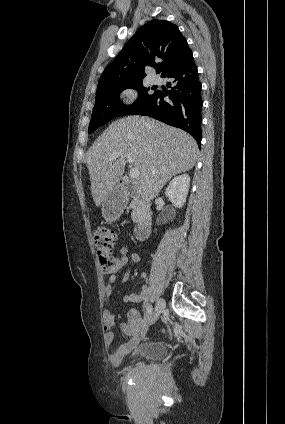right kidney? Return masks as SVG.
Here are the masks:
<instances>
[{"label": "right kidney", "instance_id": "right-kidney-1", "mask_svg": "<svg viewBox=\"0 0 285 424\" xmlns=\"http://www.w3.org/2000/svg\"><path fill=\"white\" fill-rule=\"evenodd\" d=\"M189 185L190 177L188 174L179 175L170 181L165 190V195L175 207L182 208L186 203Z\"/></svg>", "mask_w": 285, "mask_h": 424}]
</instances>
